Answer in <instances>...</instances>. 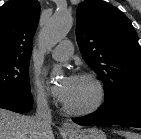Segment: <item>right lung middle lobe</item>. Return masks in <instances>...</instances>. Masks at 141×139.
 <instances>
[{"instance_id": "dd1d6c3e", "label": "right lung middle lobe", "mask_w": 141, "mask_h": 139, "mask_svg": "<svg viewBox=\"0 0 141 139\" xmlns=\"http://www.w3.org/2000/svg\"><path fill=\"white\" fill-rule=\"evenodd\" d=\"M30 58H0V93L28 92Z\"/></svg>"}]
</instances>
